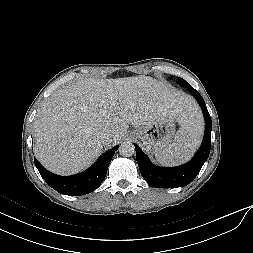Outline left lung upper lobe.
Here are the masks:
<instances>
[{
    "label": "left lung upper lobe",
    "instance_id": "obj_1",
    "mask_svg": "<svg viewBox=\"0 0 253 253\" xmlns=\"http://www.w3.org/2000/svg\"><path fill=\"white\" fill-rule=\"evenodd\" d=\"M180 84L184 87L189 86V84L184 79H180Z\"/></svg>",
    "mask_w": 253,
    "mask_h": 253
}]
</instances>
